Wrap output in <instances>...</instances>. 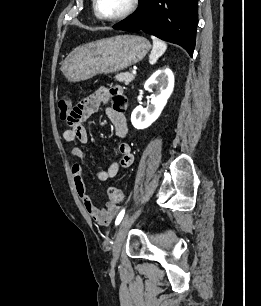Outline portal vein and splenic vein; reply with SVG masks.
I'll return each mask as SVG.
<instances>
[{"instance_id":"obj_1","label":"portal vein and splenic vein","mask_w":261,"mask_h":306,"mask_svg":"<svg viewBox=\"0 0 261 306\" xmlns=\"http://www.w3.org/2000/svg\"><path fill=\"white\" fill-rule=\"evenodd\" d=\"M132 74H136V70H133V71H132Z\"/></svg>"}]
</instances>
